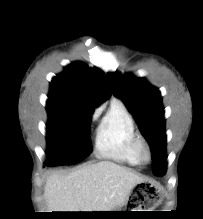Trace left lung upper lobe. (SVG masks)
Masks as SVG:
<instances>
[{"mask_svg":"<svg viewBox=\"0 0 203 219\" xmlns=\"http://www.w3.org/2000/svg\"><path fill=\"white\" fill-rule=\"evenodd\" d=\"M107 81L111 92L123 100L137 121L151 147L153 173L160 175L166 168L165 119L160 91L144 78L130 74L120 76L118 73H108Z\"/></svg>","mask_w":203,"mask_h":219,"instance_id":"obj_1","label":"left lung upper lobe"}]
</instances>
